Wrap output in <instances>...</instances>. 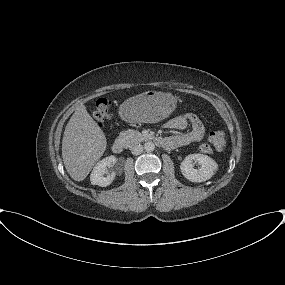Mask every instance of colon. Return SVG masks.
Here are the masks:
<instances>
[{"label":"colon","mask_w":285,"mask_h":285,"mask_svg":"<svg viewBox=\"0 0 285 285\" xmlns=\"http://www.w3.org/2000/svg\"><path fill=\"white\" fill-rule=\"evenodd\" d=\"M109 102L106 99H99L96 103L94 117L99 124H104L109 118ZM211 145L204 144L201 146V151L210 153L213 149L223 151L226 146V133L223 129H216L209 134Z\"/></svg>","instance_id":"5ec220e1"}]
</instances>
